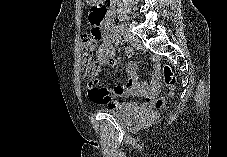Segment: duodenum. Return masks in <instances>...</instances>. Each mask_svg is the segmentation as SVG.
Masks as SVG:
<instances>
[{"label": "duodenum", "instance_id": "obj_1", "mask_svg": "<svg viewBox=\"0 0 227 157\" xmlns=\"http://www.w3.org/2000/svg\"><path fill=\"white\" fill-rule=\"evenodd\" d=\"M112 0H99L97 4H92V9H97L98 16H89L90 25L93 27V32H111L110 24L107 21V15L111 10Z\"/></svg>", "mask_w": 227, "mask_h": 157}]
</instances>
